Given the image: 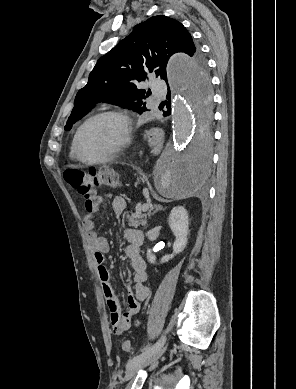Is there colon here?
<instances>
[{
  "instance_id": "1",
  "label": "colon",
  "mask_w": 296,
  "mask_h": 389,
  "mask_svg": "<svg viewBox=\"0 0 296 389\" xmlns=\"http://www.w3.org/2000/svg\"><path fill=\"white\" fill-rule=\"evenodd\" d=\"M64 178L73 190L84 197H88L94 187H115L119 182L117 172L110 167H100L89 171L67 170ZM122 349L127 353L132 352L131 342L123 341Z\"/></svg>"
}]
</instances>
